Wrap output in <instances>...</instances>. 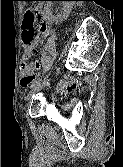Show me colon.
I'll list each match as a JSON object with an SVG mask.
<instances>
[{
  "mask_svg": "<svg viewBox=\"0 0 123 167\" xmlns=\"http://www.w3.org/2000/svg\"><path fill=\"white\" fill-rule=\"evenodd\" d=\"M22 29L25 60L28 61L34 56L35 46L41 40L46 30V24L43 21L42 13L38 7L27 10L24 15ZM35 64L38 63L36 62Z\"/></svg>",
  "mask_w": 123,
  "mask_h": 167,
  "instance_id": "obj_1",
  "label": "colon"
}]
</instances>
